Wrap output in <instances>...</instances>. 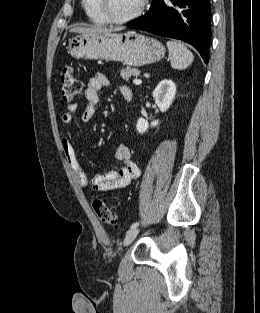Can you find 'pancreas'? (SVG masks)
<instances>
[{
  "label": "pancreas",
  "instance_id": "cf45deb5",
  "mask_svg": "<svg viewBox=\"0 0 260 313\" xmlns=\"http://www.w3.org/2000/svg\"><path fill=\"white\" fill-rule=\"evenodd\" d=\"M140 73H141L140 70H138L136 68H130V67L121 68V70H120V75L125 80H129V78L131 76H133V77L139 76Z\"/></svg>",
  "mask_w": 260,
  "mask_h": 313
}]
</instances>
